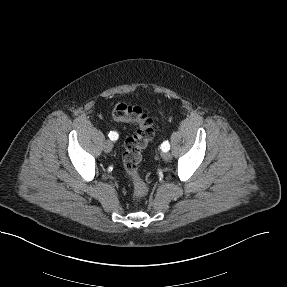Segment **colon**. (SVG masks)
<instances>
[{
  "label": "colon",
  "mask_w": 287,
  "mask_h": 287,
  "mask_svg": "<svg viewBox=\"0 0 287 287\" xmlns=\"http://www.w3.org/2000/svg\"><path fill=\"white\" fill-rule=\"evenodd\" d=\"M115 120L134 123L137 126L135 134L128 137L124 145L123 165L132 183L135 198H141L148 192V185L139 174L142 151L154 135L153 120L139 106L118 102L112 110Z\"/></svg>",
  "instance_id": "colon-1"
}]
</instances>
